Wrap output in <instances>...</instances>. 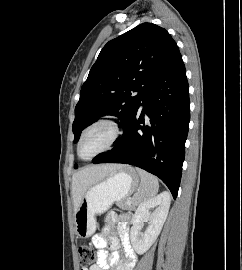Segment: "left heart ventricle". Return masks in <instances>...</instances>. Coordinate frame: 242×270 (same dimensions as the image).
Returning a JSON list of instances; mask_svg holds the SVG:
<instances>
[{
  "instance_id": "left-heart-ventricle-1",
  "label": "left heart ventricle",
  "mask_w": 242,
  "mask_h": 270,
  "mask_svg": "<svg viewBox=\"0 0 242 270\" xmlns=\"http://www.w3.org/2000/svg\"><path fill=\"white\" fill-rule=\"evenodd\" d=\"M111 134V129L106 125H99L90 129L81 142V156L89 158L103 149L109 142Z\"/></svg>"
}]
</instances>
